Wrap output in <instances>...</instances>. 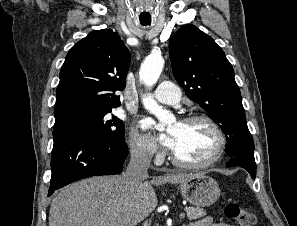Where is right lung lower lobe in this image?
Here are the masks:
<instances>
[{
    "mask_svg": "<svg viewBox=\"0 0 297 226\" xmlns=\"http://www.w3.org/2000/svg\"><path fill=\"white\" fill-rule=\"evenodd\" d=\"M53 138L48 196L82 178L120 173L128 155L124 141L114 142L82 129L54 130Z\"/></svg>",
    "mask_w": 297,
    "mask_h": 226,
    "instance_id": "1",
    "label": "right lung lower lobe"
}]
</instances>
